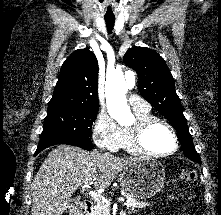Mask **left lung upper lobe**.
<instances>
[{
  "instance_id": "5c2ea615",
  "label": "left lung upper lobe",
  "mask_w": 221,
  "mask_h": 215,
  "mask_svg": "<svg viewBox=\"0 0 221 215\" xmlns=\"http://www.w3.org/2000/svg\"><path fill=\"white\" fill-rule=\"evenodd\" d=\"M123 60L139 77V91L174 127L185 155L201 163L196 152L180 99L175 92L173 76L164 59L146 47L128 50Z\"/></svg>"
}]
</instances>
